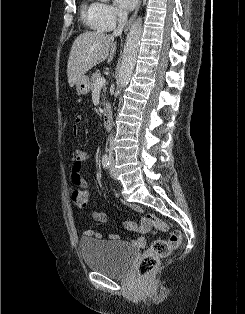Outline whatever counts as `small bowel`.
<instances>
[{"instance_id": "1", "label": "small bowel", "mask_w": 245, "mask_h": 314, "mask_svg": "<svg viewBox=\"0 0 245 314\" xmlns=\"http://www.w3.org/2000/svg\"><path fill=\"white\" fill-rule=\"evenodd\" d=\"M80 122H81V118L76 117L75 123L73 125V133L75 135L78 134V131H79L78 124ZM88 159H89V154L85 151L77 150L74 154V159H73V163H72L71 179L75 185L82 187V188L88 187L87 181L84 179V177L81 174L82 167ZM92 216L96 222L104 223L107 221L106 214L102 211H94ZM124 226H125V228H127L129 230L139 231V232H146V231L150 230L149 227H145L144 224L139 226V225L132 223V222H125ZM83 237H85V238H87V237L101 238L102 233L94 232L91 229H87L83 232ZM109 238L112 240H120V236L117 234H110ZM132 242L134 245H136L138 247H143L146 244V237L144 235H142L140 237L132 239Z\"/></svg>"}]
</instances>
